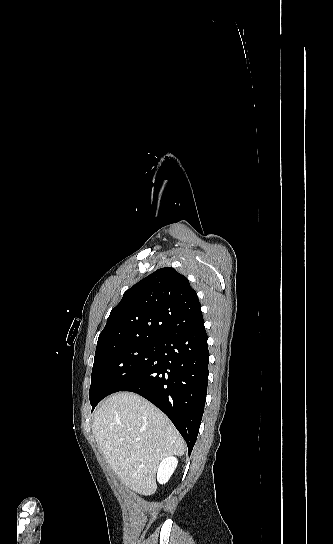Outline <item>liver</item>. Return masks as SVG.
Listing matches in <instances>:
<instances>
[{
  "mask_svg": "<svg viewBox=\"0 0 333 544\" xmlns=\"http://www.w3.org/2000/svg\"><path fill=\"white\" fill-rule=\"evenodd\" d=\"M92 431L111 469L141 495L155 493L160 461L184 454V441L171 421L134 393L119 392L102 402Z\"/></svg>",
  "mask_w": 333,
  "mask_h": 544,
  "instance_id": "1",
  "label": "liver"
}]
</instances>
